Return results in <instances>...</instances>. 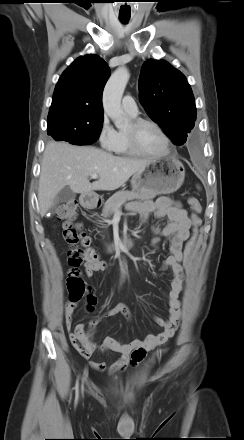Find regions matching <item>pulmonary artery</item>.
I'll return each mask as SVG.
<instances>
[{"instance_id":"1","label":"pulmonary artery","mask_w":244,"mask_h":440,"mask_svg":"<svg viewBox=\"0 0 244 440\" xmlns=\"http://www.w3.org/2000/svg\"><path fill=\"white\" fill-rule=\"evenodd\" d=\"M122 108L124 109L125 112H127L131 116H136L138 113V108L135 99L130 95H126L123 97Z\"/></svg>"}]
</instances>
